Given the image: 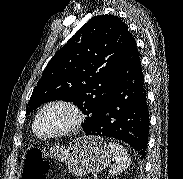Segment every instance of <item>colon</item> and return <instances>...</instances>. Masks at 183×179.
I'll list each match as a JSON object with an SVG mask.
<instances>
[{
  "instance_id": "obj_1",
  "label": "colon",
  "mask_w": 183,
  "mask_h": 179,
  "mask_svg": "<svg viewBox=\"0 0 183 179\" xmlns=\"http://www.w3.org/2000/svg\"><path fill=\"white\" fill-rule=\"evenodd\" d=\"M48 164L38 148H31L25 157L22 179H46Z\"/></svg>"
}]
</instances>
